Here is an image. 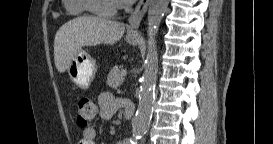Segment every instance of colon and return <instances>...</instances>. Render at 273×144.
Listing matches in <instances>:
<instances>
[{
  "instance_id": "5ec220e1",
  "label": "colon",
  "mask_w": 273,
  "mask_h": 144,
  "mask_svg": "<svg viewBox=\"0 0 273 144\" xmlns=\"http://www.w3.org/2000/svg\"><path fill=\"white\" fill-rule=\"evenodd\" d=\"M98 114V107L96 103L87 97L79 100L77 109V123L80 127H86L92 122Z\"/></svg>"
}]
</instances>
